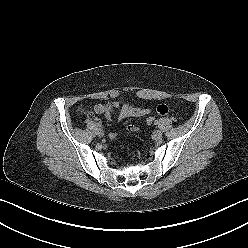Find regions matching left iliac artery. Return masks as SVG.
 Instances as JSON below:
<instances>
[{
    "label": "left iliac artery",
    "instance_id": "obj_1",
    "mask_svg": "<svg viewBox=\"0 0 248 248\" xmlns=\"http://www.w3.org/2000/svg\"><path fill=\"white\" fill-rule=\"evenodd\" d=\"M154 124L157 125L158 124V121L155 120Z\"/></svg>",
    "mask_w": 248,
    "mask_h": 248
}]
</instances>
